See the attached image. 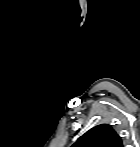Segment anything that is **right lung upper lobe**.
Listing matches in <instances>:
<instances>
[{
  "label": "right lung upper lobe",
  "mask_w": 140,
  "mask_h": 147,
  "mask_svg": "<svg viewBox=\"0 0 140 147\" xmlns=\"http://www.w3.org/2000/svg\"><path fill=\"white\" fill-rule=\"evenodd\" d=\"M74 147H123L121 137L108 124H101L81 136Z\"/></svg>",
  "instance_id": "cb5924a9"
}]
</instances>
